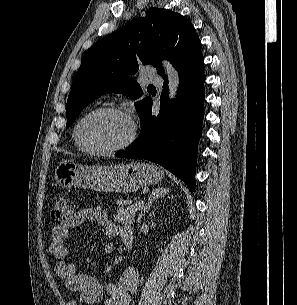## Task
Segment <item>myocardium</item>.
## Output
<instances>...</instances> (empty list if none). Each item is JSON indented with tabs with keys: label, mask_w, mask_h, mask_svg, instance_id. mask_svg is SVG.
I'll return each instance as SVG.
<instances>
[{
	"label": "myocardium",
	"mask_w": 297,
	"mask_h": 305,
	"mask_svg": "<svg viewBox=\"0 0 297 305\" xmlns=\"http://www.w3.org/2000/svg\"><path fill=\"white\" fill-rule=\"evenodd\" d=\"M99 113L117 114L124 117L128 121L130 130L128 136L125 138L124 141L111 147H90L84 145L80 136L81 125L87 118ZM137 131H138V126L131 112L118 106H102L87 112L77 121L74 128V139L79 149H81L84 152L90 154H113L128 148L135 141L137 136Z\"/></svg>",
	"instance_id": "f54148a6"
}]
</instances>
